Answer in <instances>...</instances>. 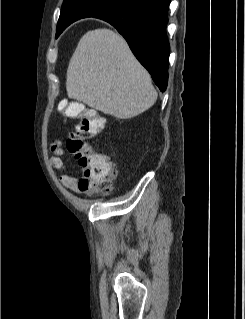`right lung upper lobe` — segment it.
Masks as SVG:
<instances>
[{"mask_svg":"<svg viewBox=\"0 0 245 319\" xmlns=\"http://www.w3.org/2000/svg\"><path fill=\"white\" fill-rule=\"evenodd\" d=\"M80 1L84 0H64L62 5L63 10H61L57 29H65L68 25L78 19L92 16L91 13L79 5Z\"/></svg>","mask_w":245,"mask_h":319,"instance_id":"right-lung-upper-lobe-1","label":"right lung upper lobe"}]
</instances>
